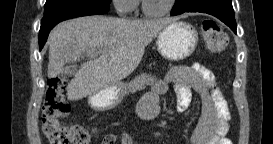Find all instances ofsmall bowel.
Masks as SVG:
<instances>
[{
	"mask_svg": "<svg viewBox=\"0 0 273 144\" xmlns=\"http://www.w3.org/2000/svg\"><path fill=\"white\" fill-rule=\"evenodd\" d=\"M176 84V105L179 112L188 108L191 91H197L202 99V114L190 137L192 144H226L224 135L228 131L230 112L221 87L214 73L199 64L190 67L177 66L157 80L152 89L141 99L137 112L144 120L154 119L160 112V97L166 93L169 84ZM102 144H116L118 139L109 135Z\"/></svg>",
	"mask_w": 273,
	"mask_h": 144,
	"instance_id": "obj_1",
	"label": "small bowel"
}]
</instances>
